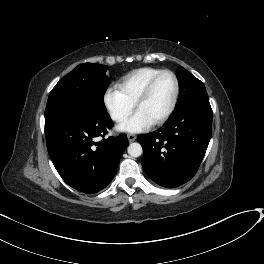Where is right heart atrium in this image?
Wrapping results in <instances>:
<instances>
[{
	"label": "right heart atrium",
	"instance_id": "1",
	"mask_svg": "<svg viewBox=\"0 0 264 264\" xmlns=\"http://www.w3.org/2000/svg\"><path fill=\"white\" fill-rule=\"evenodd\" d=\"M104 104L116 122H122L134 109L132 103L118 87H110L104 95Z\"/></svg>",
	"mask_w": 264,
	"mask_h": 264
}]
</instances>
